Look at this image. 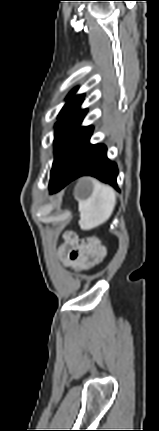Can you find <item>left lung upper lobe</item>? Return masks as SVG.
Segmentation results:
<instances>
[{
    "instance_id": "1",
    "label": "left lung upper lobe",
    "mask_w": 159,
    "mask_h": 431,
    "mask_svg": "<svg viewBox=\"0 0 159 431\" xmlns=\"http://www.w3.org/2000/svg\"><path fill=\"white\" fill-rule=\"evenodd\" d=\"M76 90V88L73 89L67 96V102L58 116L59 121L55 125L54 148L56 153L51 170L50 182L59 173L63 161L76 138L88 128L80 126L87 113V109L81 110L79 108L84 99V95L74 96Z\"/></svg>"
}]
</instances>
